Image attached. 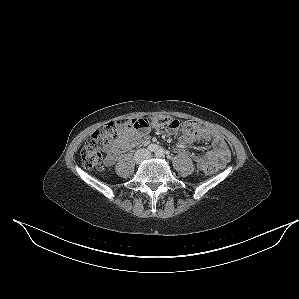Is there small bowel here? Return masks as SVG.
Segmentation results:
<instances>
[{"label":"small bowel","mask_w":299,"mask_h":299,"mask_svg":"<svg viewBox=\"0 0 299 299\" xmlns=\"http://www.w3.org/2000/svg\"><path fill=\"white\" fill-rule=\"evenodd\" d=\"M147 131L138 132L133 129H124L121 137L108 149L105 159L106 166H112L117 155L128 151L138 141L146 138ZM194 140H212L213 149L205 154H193L192 158L196 162L199 169H203L205 165L213 164L217 168H222L230 159V150L224 138L216 131L210 129H201L194 137L183 135L179 138V149L188 148Z\"/></svg>","instance_id":"obj_1"}]
</instances>
